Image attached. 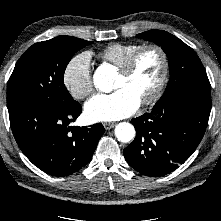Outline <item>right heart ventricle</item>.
<instances>
[{
	"label": "right heart ventricle",
	"instance_id": "1",
	"mask_svg": "<svg viewBox=\"0 0 221 221\" xmlns=\"http://www.w3.org/2000/svg\"><path fill=\"white\" fill-rule=\"evenodd\" d=\"M141 46V44L137 43H111L103 48L98 56L103 61L119 68Z\"/></svg>",
	"mask_w": 221,
	"mask_h": 221
}]
</instances>
